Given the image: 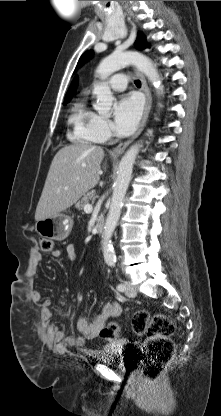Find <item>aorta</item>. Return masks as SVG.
<instances>
[{
    "label": "aorta",
    "instance_id": "762f6f07",
    "mask_svg": "<svg viewBox=\"0 0 221 416\" xmlns=\"http://www.w3.org/2000/svg\"><path fill=\"white\" fill-rule=\"evenodd\" d=\"M128 64H133L148 78V80L157 89L158 95L162 94V85L158 70L153 66L151 60L148 57L139 52H114L100 62L96 72L100 76L101 80H105L108 78V76ZM93 93L97 97V101L94 107L95 110L101 114L108 113L111 109L114 99L110 88L105 83H101L100 85L94 86ZM141 146L142 144L140 143L132 145L124 154L119 163L117 179L114 183L111 205L102 235L104 260L109 266H113L116 262V255L111 242V238L120 218L124 197L131 181L133 165Z\"/></svg>",
    "mask_w": 221,
    "mask_h": 416
}]
</instances>
